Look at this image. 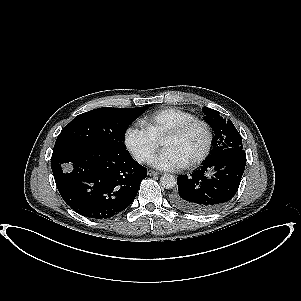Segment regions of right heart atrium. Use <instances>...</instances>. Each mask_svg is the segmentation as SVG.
I'll return each instance as SVG.
<instances>
[{
	"mask_svg": "<svg viewBox=\"0 0 301 301\" xmlns=\"http://www.w3.org/2000/svg\"><path fill=\"white\" fill-rule=\"evenodd\" d=\"M125 145L140 162H147L158 150V141L145 129L130 126L125 132Z\"/></svg>",
	"mask_w": 301,
	"mask_h": 301,
	"instance_id": "d8ad5b80",
	"label": "right heart atrium"
}]
</instances>
